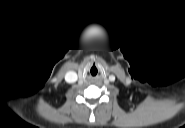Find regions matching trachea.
Here are the masks:
<instances>
[{
  "instance_id": "trachea-1",
  "label": "trachea",
  "mask_w": 185,
  "mask_h": 128,
  "mask_svg": "<svg viewBox=\"0 0 185 128\" xmlns=\"http://www.w3.org/2000/svg\"><path fill=\"white\" fill-rule=\"evenodd\" d=\"M97 74H98V69L95 65H93L90 69V75L95 77V76H97Z\"/></svg>"
}]
</instances>
